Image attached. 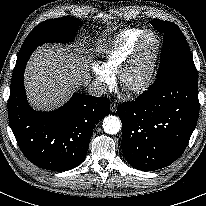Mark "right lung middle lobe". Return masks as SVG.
<instances>
[{
  "label": "right lung middle lobe",
  "mask_w": 206,
  "mask_h": 206,
  "mask_svg": "<svg viewBox=\"0 0 206 206\" xmlns=\"http://www.w3.org/2000/svg\"><path fill=\"white\" fill-rule=\"evenodd\" d=\"M81 20L62 17L44 21L37 25L24 41L16 61L12 79L18 77L20 68L26 65L31 53L47 42H69L76 34Z\"/></svg>",
  "instance_id": "1"
}]
</instances>
